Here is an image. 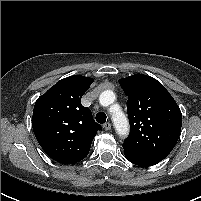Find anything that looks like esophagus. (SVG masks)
<instances>
[{
    "label": "esophagus",
    "instance_id": "1",
    "mask_svg": "<svg viewBox=\"0 0 201 201\" xmlns=\"http://www.w3.org/2000/svg\"><path fill=\"white\" fill-rule=\"evenodd\" d=\"M103 128L106 130V131H109L111 129V124L109 122L105 123L103 125Z\"/></svg>",
    "mask_w": 201,
    "mask_h": 201
}]
</instances>
